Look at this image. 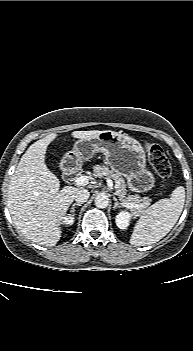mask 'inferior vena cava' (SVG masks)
Segmentation results:
<instances>
[{
	"instance_id": "602c4592",
	"label": "inferior vena cava",
	"mask_w": 193,
	"mask_h": 351,
	"mask_svg": "<svg viewBox=\"0 0 193 351\" xmlns=\"http://www.w3.org/2000/svg\"><path fill=\"white\" fill-rule=\"evenodd\" d=\"M89 196H90L89 191L85 188H81L76 192L74 196V200L82 204L88 200Z\"/></svg>"
}]
</instances>
